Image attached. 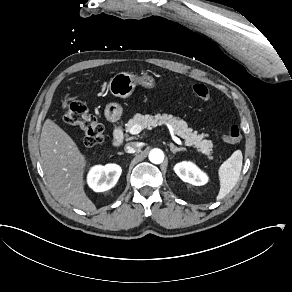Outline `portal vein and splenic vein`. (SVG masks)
I'll return each mask as SVG.
<instances>
[{
    "label": "portal vein and splenic vein",
    "mask_w": 292,
    "mask_h": 292,
    "mask_svg": "<svg viewBox=\"0 0 292 292\" xmlns=\"http://www.w3.org/2000/svg\"><path fill=\"white\" fill-rule=\"evenodd\" d=\"M141 130H142L141 126H139V125H134V126L130 129L129 132H130V134H138V133L141 132ZM172 139H173V141L176 142L177 144H181V140H180L178 137L172 135Z\"/></svg>",
    "instance_id": "obj_1"
}]
</instances>
